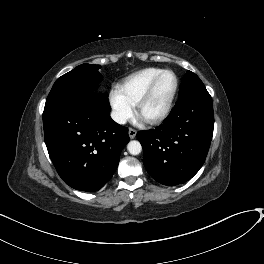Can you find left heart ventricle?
Here are the masks:
<instances>
[{"label": "left heart ventricle", "mask_w": 264, "mask_h": 264, "mask_svg": "<svg viewBox=\"0 0 264 264\" xmlns=\"http://www.w3.org/2000/svg\"><path fill=\"white\" fill-rule=\"evenodd\" d=\"M174 78L171 74H165L161 77L157 83L152 96L142 106L139 111V115L143 118H151L160 113L173 90Z\"/></svg>", "instance_id": "b2bd125f"}]
</instances>
